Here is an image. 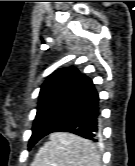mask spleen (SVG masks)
<instances>
[{
  "instance_id": "1",
  "label": "spleen",
  "mask_w": 135,
  "mask_h": 166,
  "mask_svg": "<svg viewBox=\"0 0 135 166\" xmlns=\"http://www.w3.org/2000/svg\"><path fill=\"white\" fill-rule=\"evenodd\" d=\"M31 166H101L96 147L70 133H53L35 156Z\"/></svg>"
}]
</instances>
